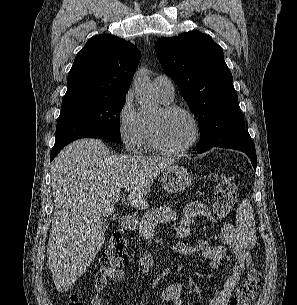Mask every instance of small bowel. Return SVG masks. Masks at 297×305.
Instances as JSON below:
<instances>
[{
    "label": "small bowel",
    "instance_id": "c3829d8e",
    "mask_svg": "<svg viewBox=\"0 0 297 305\" xmlns=\"http://www.w3.org/2000/svg\"><path fill=\"white\" fill-rule=\"evenodd\" d=\"M199 219L213 220L214 215L201 202H193L186 206L181 214L177 227V235L179 237H187ZM169 250L181 255L200 254L211 269L219 268L223 260L232 264V271L224 277L218 294L210 300L209 305H228L235 288L245 273L246 267L251 262V254L247 245L231 223H225L222 226L221 243L219 245H211L208 240L202 239L195 244L175 243L169 246ZM152 267V257L149 254L142 255L138 261L139 271L146 274ZM124 278V271L118 268L100 271L95 278V294L89 305H103V292L107 287L108 281L111 280L118 283ZM182 292V285L173 283L161 291L160 297L170 305H183Z\"/></svg>",
    "mask_w": 297,
    "mask_h": 305
}]
</instances>
